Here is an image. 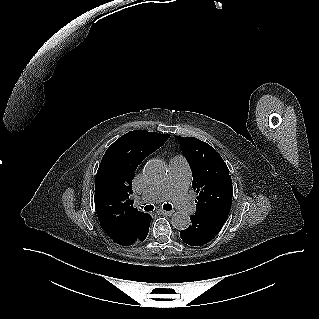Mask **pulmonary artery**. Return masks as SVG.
<instances>
[{"label": "pulmonary artery", "mask_w": 319, "mask_h": 319, "mask_svg": "<svg viewBox=\"0 0 319 319\" xmlns=\"http://www.w3.org/2000/svg\"><path fill=\"white\" fill-rule=\"evenodd\" d=\"M190 180V169L182 156L169 160V174L166 180L158 185L147 188L138 197V203H158L167 199L173 200L184 214H190L194 204L186 193Z\"/></svg>", "instance_id": "1"}]
</instances>
